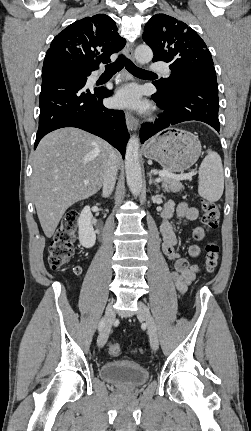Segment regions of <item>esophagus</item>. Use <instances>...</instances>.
<instances>
[{"mask_svg": "<svg viewBox=\"0 0 251 431\" xmlns=\"http://www.w3.org/2000/svg\"><path fill=\"white\" fill-rule=\"evenodd\" d=\"M133 44L127 43L125 46V55L128 59L134 60V50H133ZM125 120L126 125L130 131H135L138 128V121L137 119L130 113L129 111L125 112Z\"/></svg>", "mask_w": 251, "mask_h": 431, "instance_id": "esophagus-1", "label": "esophagus"}]
</instances>
